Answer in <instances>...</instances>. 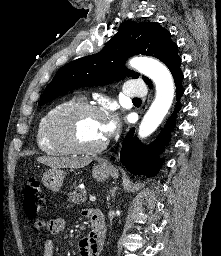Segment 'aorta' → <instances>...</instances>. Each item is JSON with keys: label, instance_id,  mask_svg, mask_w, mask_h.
Returning a JSON list of instances; mask_svg holds the SVG:
<instances>
[{"label": "aorta", "instance_id": "1", "mask_svg": "<svg viewBox=\"0 0 221 256\" xmlns=\"http://www.w3.org/2000/svg\"><path fill=\"white\" fill-rule=\"evenodd\" d=\"M130 66L153 80L156 96L139 126L138 135L145 138L152 134L168 113L174 98V83L169 70L152 59H133Z\"/></svg>", "mask_w": 221, "mask_h": 256}]
</instances>
